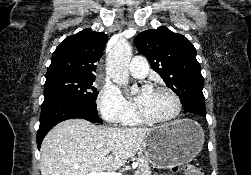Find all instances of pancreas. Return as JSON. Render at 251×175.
<instances>
[{
  "label": "pancreas",
  "instance_id": "obj_1",
  "mask_svg": "<svg viewBox=\"0 0 251 175\" xmlns=\"http://www.w3.org/2000/svg\"><path fill=\"white\" fill-rule=\"evenodd\" d=\"M137 159L138 163V169L135 173V175H150L151 167H149V161L144 157V155H138V157H135Z\"/></svg>",
  "mask_w": 251,
  "mask_h": 175
}]
</instances>
